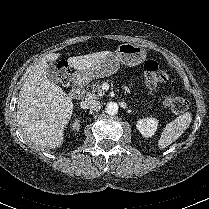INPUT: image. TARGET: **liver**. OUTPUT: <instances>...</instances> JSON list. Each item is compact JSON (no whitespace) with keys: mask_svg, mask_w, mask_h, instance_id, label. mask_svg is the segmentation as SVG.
<instances>
[{"mask_svg":"<svg viewBox=\"0 0 209 209\" xmlns=\"http://www.w3.org/2000/svg\"><path fill=\"white\" fill-rule=\"evenodd\" d=\"M101 51L70 57L69 66L84 72L100 59L111 54ZM60 54L45 56L30 72L19 92L17 123L25 138L41 148L54 149L62 145L64 129L72 116V98L47 78L48 61H56Z\"/></svg>","mask_w":209,"mask_h":209,"instance_id":"1","label":"liver"}]
</instances>
